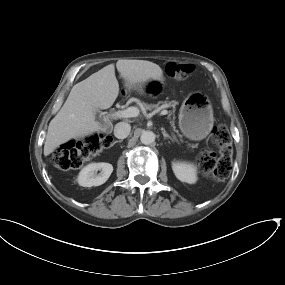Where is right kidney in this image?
I'll use <instances>...</instances> for the list:
<instances>
[{"label":"right kidney","instance_id":"ca27d5eb","mask_svg":"<svg viewBox=\"0 0 285 285\" xmlns=\"http://www.w3.org/2000/svg\"><path fill=\"white\" fill-rule=\"evenodd\" d=\"M112 172L113 166L109 163H91L80 171L77 180L83 187L99 186L108 180Z\"/></svg>","mask_w":285,"mask_h":285}]
</instances>
